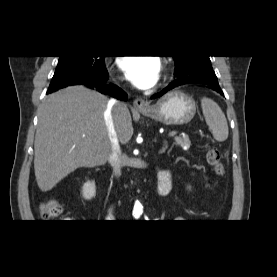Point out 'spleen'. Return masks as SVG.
<instances>
[{"label":"spleen","mask_w":277,"mask_h":277,"mask_svg":"<svg viewBox=\"0 0 277 277\" xmlns=\"http://www.w3.org/2000/svg\"><path fill=\"white\" fill-rule=\"evenodd\" d=\"M201 107L206 124L212 131L213 137L219 142L228 138V124L224 113L219 105L209 98L201 99Z\"/></svg>","instance_id":"3e777b00"}]
</instances>
